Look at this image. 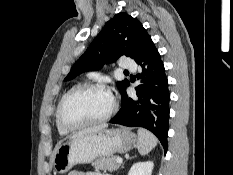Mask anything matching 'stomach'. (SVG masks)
Segmentation results:
<instances>
[{
  "mask_svg": "<svg viewBox=\"0 0 233 175\" xmlns=\"http://www.w3.org/2000/svg\"><path fill=\"white\" fill-rule=\"evenodd\" d=\"M136 144V135L126 128L103 129L57 145L53 167L56 172L63 174L75 164L90 163L96 158L125 153Z\"/></svg>",
  "mask_w": 233,
  "mask_h": 175,
  "instance_id": "stomach-1",
  "label": "stomach"
}]
</instances>
